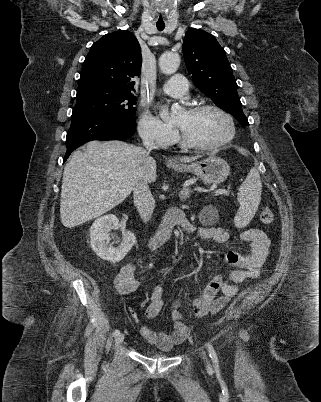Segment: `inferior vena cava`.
<instances>
[{
	"label": "inferior vena cava",
	"mask_w": 321,
	"mask_h": 402,
	"mask_svg": "<svg viewBox=\"0 0 321 402\" xmlns=\"http://www.w3.org/2000/svg\"><path fill=\"white\" fill-rule=\"evenodd\" d=\"M143 146L146 148L147 153L157 149L156 144L150 137H143ZM133 197L134 204L142 220L146 223L151 219L155 206V201L150 192L148 183L143 180L137 181L133 187Z\"/></svg>",
	"instance_id": "1"
}]
</instances>
